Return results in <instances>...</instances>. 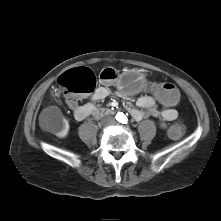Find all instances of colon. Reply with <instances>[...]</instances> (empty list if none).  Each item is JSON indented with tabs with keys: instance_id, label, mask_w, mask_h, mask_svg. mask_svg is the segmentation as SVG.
I'll list each match as a JSON object with an SVG mask.
<instances>
[{
	"instance_id": "obj_1",
	"label": "colon",
	"mask_w": 221,
	"mask_h": 221,
	"mask_svg": "<svg viewBox=\"0 0 221 221\" xmlns=\"http://www.w3.org/2000/svg\"><path fill=\"white\" fill-rule=\"evenodd\" d=\"M118 73L113 68H105L99 79L105 83L115 81ZM58 85L66 93V98H77L78 95L92 93L97 85L94 72L86 67H78L65 72L58 80ZM147 93L158 100L165 108H176L180 104L181 90L174 83L150 82ZM188 133L184 123L173 125L169 136L173 140L183 139Z\"/></svg>"
}]
</instances>
